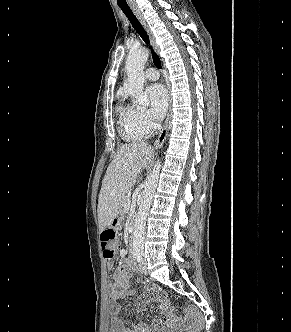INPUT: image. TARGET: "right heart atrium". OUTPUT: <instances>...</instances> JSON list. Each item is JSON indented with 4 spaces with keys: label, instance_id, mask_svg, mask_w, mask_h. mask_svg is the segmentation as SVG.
Here are the masks:
<instances>
[{
    "label": "right heart atrium",
    "instance_id": "1",
    "mask_svg": "<svg viewBox=\"0 0 291 332\" xmlns=\"http://www.w3.org/2000/svg\"><path fill=\"white\" fill-rule=\"evenodd\" d=\"M134 122L140 130L145 132L151 131L154 127V124L148 117L147 111L142 107H135Z\"/></svg>",
    "mask_w": 291,
    "mask_h": 332
}]
</instances>
